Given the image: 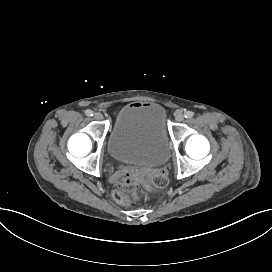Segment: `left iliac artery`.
Returning a JSON list of instances; mask_svg holds the SVG:
<instances>
[{
  "label": "left iliac artery",
  "mask_w": 272,
  "mask_h": 272,
  "mask_svg": "<svg viewBox=\"0 0 272 272\" xmlns=\"http://www.w3.org/2000/svg\"><path fill=\"white\" fill-rule=\"evenodd\" d=\"M193 115H194V113H193L192 111H187V112H185V114H184L185 118H192Z\"/></svg>",
  "instance_id": "left-iliac-artery-1"
}]
</instances>
